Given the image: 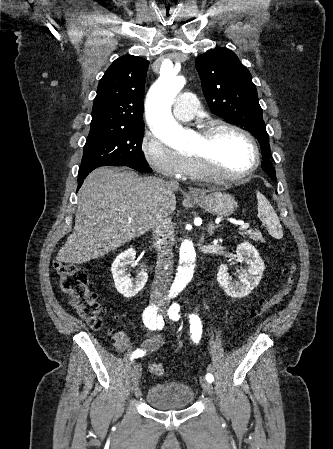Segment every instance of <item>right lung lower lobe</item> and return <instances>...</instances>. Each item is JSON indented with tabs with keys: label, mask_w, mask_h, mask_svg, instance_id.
I'll list each match as a JSON object with an SVG mask.
<instances>
[{
	"label": "right lung lower lobe",
	"mask_w": 333,
	"mask_h": 449,
	"mask_svg": "<svg viewBox=\"0 0 333 449\" xmlns=\"http://www.w3.org/2000/svg\"><path fill=\"white\" fill-rule=\"evenodd\" d=\"M104 166V165H83L79 168V174H78V189L81 187L84 179L88 176L90 172H92L95 168ZM112 166H127L123 164H114ZM130 168H133L138 171L142 172H151L152 169L150 167H142V166H128Z\"/></svg>",
	"instance_id": "right-lung-lower-lobe-1"
}]
</instances>
